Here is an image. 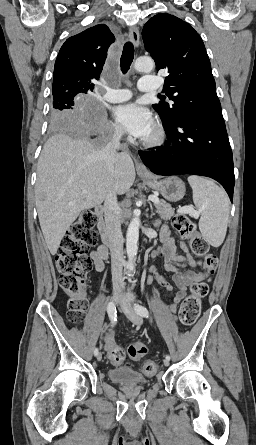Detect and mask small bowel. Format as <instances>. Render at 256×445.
Instances as JSON below:
<instances>
[{"instance_id":"1","label":"small bowel","mask_w":256,"mask_h":445,"mask_svg":"<svg viewBox=\"0 0 256 445\" xmlns=\"http://www.w3.org/2000/svg\"><path fill=\"white\" fill-rule=\"evenodd\" d=\"M161 245L157 247L153 253V260H161L165 272L171 274L172 281L176 286L164 278L156 265L149 267L151 278H154L167 292L172 294V303L169 305V310L175 312L179 303L185 298L187 288L192 286L195 282L202 280L203 275L194 271L192 268L195 262L187 251V246L184 242L180 243V248L184 251L183 255H178L176 252V245L174 239L170 236L167 227L162 226ZM94 263L95 270L102 272L105 267V261L108 258V252L102 245L98 246L90 254ZM106 344L109 349L113 344V332L106 336ZM118 364V363H114Z\"/></svg>"}]
</instances>
